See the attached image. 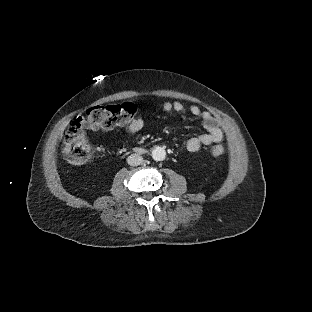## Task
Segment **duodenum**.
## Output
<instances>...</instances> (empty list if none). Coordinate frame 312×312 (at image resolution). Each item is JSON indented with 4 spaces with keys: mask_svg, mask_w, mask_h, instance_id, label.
Returning a JSON list of instances; mask_svg holds the SVG:
<instances>
[{
    "mask_svg": "<svg viewBox=\"0 0 312 312\" xmlns=\"http://www.w3.org/2000/svg\"><path fill=\"white\" fill-rule=\"evenodd\" d=\"M136 152H137L138 154H143V150H142V149H138Z\"/></svg>",
    "mask_w": 312,
    "mask_h": 312,
    "instance_id": "obj_1",
    "label": "duodenum"
}]
</instances>
